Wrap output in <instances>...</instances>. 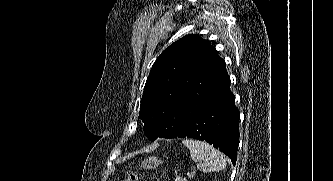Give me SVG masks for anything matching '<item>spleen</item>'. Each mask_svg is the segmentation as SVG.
<instances>
[{
	"mask_svg": "<svg viewBox=\"0 0 333 181\" xmlns=\"http://www.w3.org/2000/svg\"><path fill=\"white\" fill-rule=\"evenodd\" d=\"M182 143L189 149L192 160L199 163L202 172H215L226 168L225 156L210 144L191 139H185Z\"/></svg>",
	"mask_w": 333,
	"mask_h": 181,
	"instance_id": "1",
	"label": "spleen"
}]
</instances>
